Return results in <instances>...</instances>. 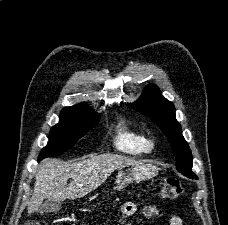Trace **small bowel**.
Returning a JSON list of instances; mask_svg holds the SVG:
<instances>
[{
    "label": "small bowel",
    "instance_id": "obj_1",
    "mask_svg": "<svg viewBox=\"0 0 228 225\" xmlns=\"http://www.w3.org/2000/svg\"><path fill=\"white\" fill-rule=\"evenodd\" d=\"M137 207L134 202L132 201H125L122 205V212L125 216H132L136 213ZM159 214V210L154 205H148L143 208V215L145 218H153ZM169 225H183L182 219L177 216L173 215L169 218ZM127 225H132L131 223H127Z\"/></svg>",
    "mask_w": 228,
    "mask_h": 225
}]
</instances>
